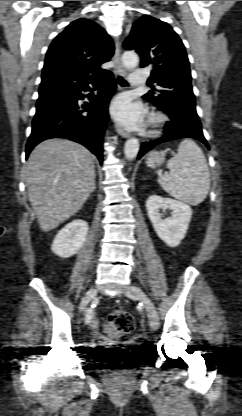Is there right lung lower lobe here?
Masks as SVG:
<instances>
[{
	"mask_svg": "<svg viewBox=\"0 0 242 416\" xmlns=\"http://www.w3.org/2000/svg\"><path fill=\"white\" fill-rule=\"evenodd\" d=\"M92 87L98 90L97 96L90 94L89 103L79 104L78 100L85 97L82 91H92ZM115 89L116 83L109 73L90 84L39 94L32 133L26 145V158L41 141L64 137L81 143L102 162V139L109 120L108 105Z\"/></svg>",
	"mask_w": 242,
	"mask_h": 416,
	"instance_id": "1",
	"label": "right lung lower lobe"
}]
</instances>
